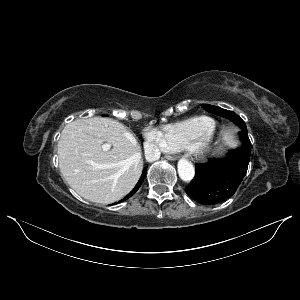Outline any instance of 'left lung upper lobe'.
Wrapping results in <instances>:
<instances>
[{
	"instance_id": "5c2ea615",
	"label": "left lung upper lobe",
	"mask_w": 300,
	"mask_h": 300,
	"mask_svg": "<svg viewBox=\"0 0 300 300\" xmlns=\"http://www.w3.org/2000/svg\"><path fill=\"white\" fill-rule=\"evenodd\" d=\"M202 107L210 113H214L216 115H219V116H222V117H225V118L231 120L232 122L237 124L242 129L241 132H247L245 122L240 118V116H238L234 112L222 109L217 106L209 105V104H202Z\"/></svg>"
}]
</instances>
